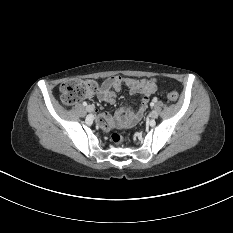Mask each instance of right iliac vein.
I'll return each mask as SVG.
<instances>
[{"instance_id":"obj_1","label":"right iliac vein","mask_w":233,"mask_h":233,"mask_svg":"<svg viewBox=\"0 0 233 233\" xmlns=\"http://www.w3.org/2000/svg\"><path fill=\"white\" fill-rule=\"evenodd\" d=\"M86 111L87 112H93L94 111V107L92 105H88V106H86Z\"/></svg>"}]
</instances>
